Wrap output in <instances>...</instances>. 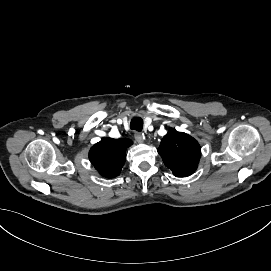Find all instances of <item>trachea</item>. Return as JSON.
<instances>
[{
    "label": "trachea",
    "instance_id": "1",
    "mask_svg": "<svg viewBox=\"0 0 271 271\" xmlns=\"http://www.w3.org/2000/svg\"><path fill=\"white\" fill-rule=\"evenodd\" d=\"M130 128L132 130L142 131V129H143V120H142V118L138 117V116H134L131 119Z\"/></svg>",
    "mask_w": 271,
    "mask_h": 271
}]
</instances>
